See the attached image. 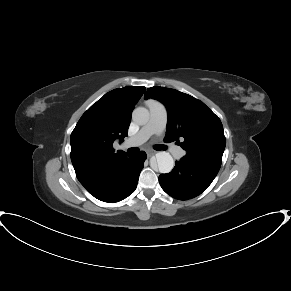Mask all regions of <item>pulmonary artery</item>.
Instances as JSON below:
<instances>
[{"mask_svg": "<svg viewBox=\"0 0 291 291\" xmlns=\"http://www.w3.org/2000/svg\"><path fill=\"white\" fill-rule=\"evenodd\" d=\"M145 104L149 109V120L135 136L127 139L123 143L122 147L125 149L143 144L153 134H161L166 126L167 111L165 106L154 100H147ZM171 153L175 158H181L184 150L181 147H174L171 149Z\"/></svg>", "mask_w": 291, "mask_h": 291, "instance_id": "e3ab8cb5", "label": "pulmonary artery"}]
</instances>
